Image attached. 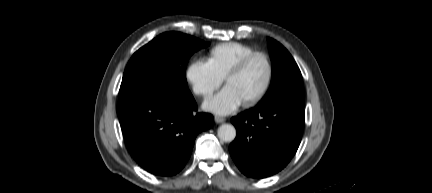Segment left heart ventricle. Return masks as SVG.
Here are the masks:
<instances>
[{"instance_id":"left-heart-ventricle-1","label":"left heart ventricle","mask_w":432,"mask_h":193,"mask_svg":"<svg viewBox=\"0 0 432 193\" xmlns=\"http://www.w3.org/2000/svg\"><path fill=\"white\" fill-rule=\"evenodd\" d=\"M266 77V62L263 58L257 57L241 74L231 79L227 87L233 89L241 101H246L262 89Z\"/></svg>"}]
</instances>
